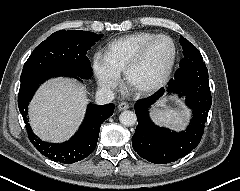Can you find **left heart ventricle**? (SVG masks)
<instances>
[{
	"instance_id": "left-heart-ventricle-1",
	"label": "left heart ventricle",
	"mask_w": 240,
	"mask_h": 191,
	"mask_svg": "<svg viewBox=\"0 0 240 191\" xmlns=\"http://www.w3.org/2000/svg\"><path fill=\"white\" fill-rule=\"evenodd\" d=\"M172 56L171 43L160 39L152 44L143 62L132 72L131 84L148 86L155 84L164 75Z\"/></svg>"
}]
</instances>
